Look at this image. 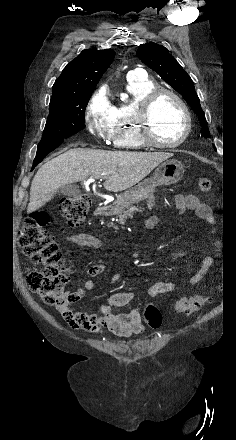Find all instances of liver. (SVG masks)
I'll return each instance as SVG.
<instances>
[{"label":"liver","mask_w":236,"mask_h":440,"mask_svg":"<svg viewBox=\"0 0 236 440\" xmlns=\"http://www.w3.org/2000/svg\"><path fill=\"white\" fill-rule=\"evenodd\" d=\"M166 152L104 151L74 148L51 159L40 167L30 188L27 213L50 201L60 187L88 177H104V188L124 191L144 179L160 163L172 157Z\"/></svg>","instance_id":"obj_1"}]
</instances>
